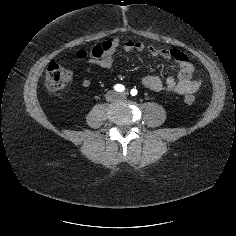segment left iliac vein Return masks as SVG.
I'll use <instances>...</instances> for the list:
<instances>
[{
    "instance_id": "1",
    "label": "left iliac vein",
    "mask_w": 236,
    "mask_h": 236,
    "mask_svg": "<svg viewBox=\"0 0 236 236\" xmlns=\"http://www.w3.org/2000/svg\"><path fill=\"white\" fill-rule=\"evenodd\" d=\"M120 97H121V98H125V97H126V93H121V94H120Z\"/></svg>"
}]
</instances>
